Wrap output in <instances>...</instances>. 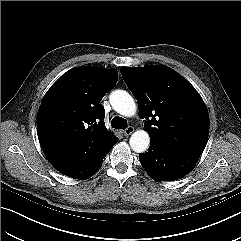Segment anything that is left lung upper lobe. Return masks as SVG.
Returning a JSON list of instances; mask_svg holds the SVG:
<instances>
[{
	"label": "left lung upper lobe",
	"mask_w": 241,
	"mask_h": 241,
	"mask_svg": "<svg viewBox=\"0 0 241 241\" xmlns=\"http://www.w3.org/2000/svg\"><path fill=\"white\" fill-rule=\"evenodd\" d=\"M121 74L138 102L150 142L200 156L208 140L209 116L195 88L164 66L123 67Z\"/></svg>",
	"instance_id": "1"
}]
</instances>
